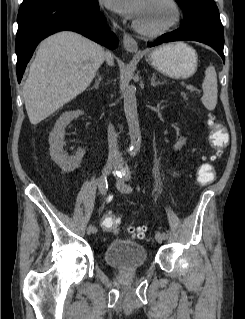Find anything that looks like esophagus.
Listing matches in <instances>:
<instances>
[{
  "label": "esophagus",
  "mask_w": 245,
  "mask_h": 319,
  "mask_svg": "<svg viewBox=\"0 0 245 319\" xmlns=\"http://www.w3.org/2000/svg\"><path fill=\"white\" fill-rule=\"evenodd\" d=\"M123 45L125 50H127L130 53H138V44L136 40L129 34L124 33L123 34Z\"/></svg>",
  "instance_id": "obj_1"
}]
</instances>
